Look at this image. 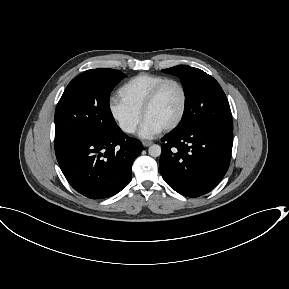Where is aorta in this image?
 Returning a JSON list of instances; mask_svg holds the SVG:
<instances>
[{
	"mask_svg": "<svg viewBox=\"0 0 289 289\" xmlns=\"http://www.w3.org/2000/svg\"><path fill=\"white\" fill-rule=\"evenodd\" d=\"M148 153L152 157H158L161 155V147L157 144H153L149 147Z\"/></svg>",
	"mask_w": 289,
	"mask_h": 289,
	"instance_id": "aorta-1",
	"label": "aorta"
}]
</instances>
